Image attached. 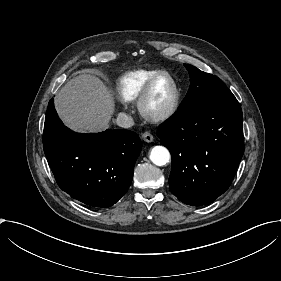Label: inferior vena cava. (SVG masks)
<instances>
[{
    "mask_svg": "<svg viewBox=\"0 0 281 281\" xmlns=\"http://www.w3.org/2000/svg\"><path fill=\"white\" fill-rule=\"evenodd\" d=\"M115 124L122 128H130L134 125V120L131 116L126 113H119Z\"/></svg>",
    "mask_w": 281,
    "mask_h": 281,
    "instance_id": "1",
    "label": "inferior vena cava"
}]
</instances>
